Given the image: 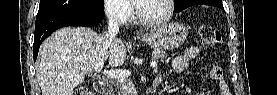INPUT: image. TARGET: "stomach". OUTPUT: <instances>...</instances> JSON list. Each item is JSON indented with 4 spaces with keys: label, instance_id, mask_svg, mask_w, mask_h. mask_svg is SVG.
<instances>
[{
    "label": "stomach",
    "instance_id": "stomach-1",
    "mask_svg": "<svg viewBox=\"0 0 277 95\" xmlns=\"http://www.w3.org/2000/svg\"><path fill=\"white\" fill-rule=\"evenodd\" d=\"M186 37L187 30L183 25L169 23L147 31L142 40L156 49L173 50L182 45Z\"/></svg>",
    "mask_w": 277,
    "mask_h": 95
}]
</instances>
